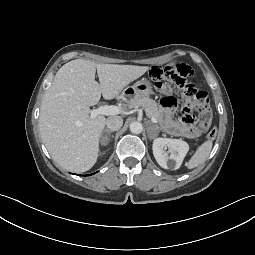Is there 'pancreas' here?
Instances as JSON below:
<instances>
[{
    "label": "pancreas",
    "mask_w": 255,
    "mask_h": 255,
    "mask_svg": "<svg viewBox=\"0 0 255 255\" xmlns=\"http://www.w3.org/2000/svg\"><path fill=\"white\" fill-rule=\"evenodd\" d=\"M129 105L132 108L142 107L150 118H160L157 103L149 97L134 98L129 102Z\"/></svg>",
    "instance_id": "1"
}]
</instances>
